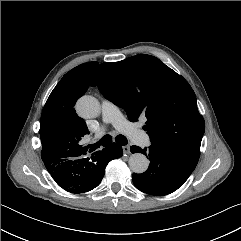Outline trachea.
<instances>
[{
	"mask_svg": "<svg viewBox=\"0 0 241 241\" xmlns=\"http://www.w3.org/2000/svg\"><path fill=\"white\" fill-rule=\"evenodd\" d=\"M116 142L120 145H126L127 144V138L123 135H118L115 138ZM112 143V137L110 135H105L101 138L100 141H98L95 144L90 145V148L92 150H95L97 148H99L100 146L106 147L108 145H110Z\"/></svg>",
	"mask_w": 241,
	"mask_h": 241,
	"instance_id": "1",
	"label": "trachea"
}]
</instances>
